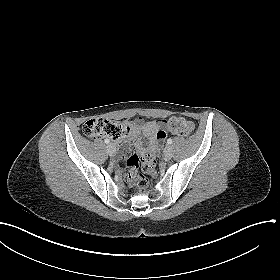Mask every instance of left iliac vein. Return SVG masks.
Listing matches in <instances>:
<instances>
[{"label":"left iliac vein","instance_id":"obj_1","mask_svg":"<svg viewBox=\"0 0 280 280\" xmlns=\"http://www.w3.org/2000/svg\"><path fill=\"white\" fill-rule=\"evenodd\" d=\"M173 156V149L170 145H167L164 149V157L166 159H171Z\"/></svg>","mask_w":280,"mask_h":280}]
</instances>
